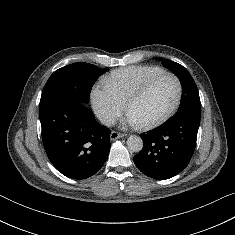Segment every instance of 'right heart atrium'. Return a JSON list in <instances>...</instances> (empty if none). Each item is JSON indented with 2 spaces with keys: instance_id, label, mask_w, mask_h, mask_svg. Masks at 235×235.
Returning <instances> with one entry per match:
<instances>
[{
  "instance_id": "obj_1",
  "label": "right heart atrium",
  "mask_w": 235,
  "mask_h": 235,
  "mask_svg": "<svg viewBox=\"0 0 235 235\" xmlns=\"http://www.w3.org/2000/svg\"><path fill=\"white\" fill-rule=\"evenodd\" d=\"M91 103L96 116L104 124H111L125 107L106 84H97L91 91Z\"/></svg>"
}]
</instances>
